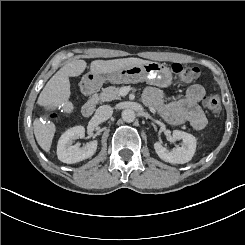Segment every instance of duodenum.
I'll list each match as a JSON object with an SVG mask.
<instances>
[{"label":"duodenum","mask_w":245,"mask_h":245,"mask_svg":"<svg viewBox=\"0 0 245 245\" xmlns=\"http://www.w3.org/2000/svg\"><path fill=\"white\" fill-rule=\"evenodd\" d=\"M84 92L90 99L83 105L82 114L84 117H90L95 110V101L93 99L94 90L92 87H85Z\"/></svg>","instance_id":"obj_1"}]
</instances>
